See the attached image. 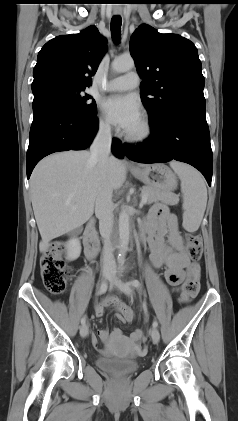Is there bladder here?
I'll return each mask as SVG.
<instances>
[{"instance_id":"bladder-1","label":"bladder","mask_w":238,"mask_h":421,"mask_svg":"<svg viewBox=\"0 0 238 421\" xmlns=\"http://www.w3.org/2000/svg\"><path fill=\"white\" fill-rule=\"evenodd\" d=\"M96 365L102 371L118 376H125L135 372L139 368L136 360L117 357H100Z\"/></svg>"}]
</instances>
